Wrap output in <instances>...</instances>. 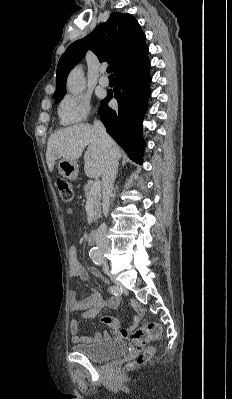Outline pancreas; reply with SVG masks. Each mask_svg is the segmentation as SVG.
I'll return each mask as SVG.
<instances>
[{"label":"pancreas","mask_w":232,"mask_h":399,"mask_svg":"<svg viewBox=\"0 0 232 399\" xmlns=\"http://www.w3.org/2000/svg\"><path fill=\"white\" fill-rule=\"evenodd\" d=\"M92 186L93 184H86V186H84V192L85 198H87V200L93 201V205L95 207V219H97V217H101L102 196L100 192H91Z\"/></svg>","instance_id":"1"}]
</instances>
